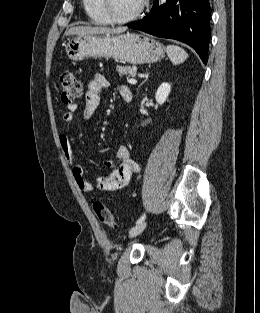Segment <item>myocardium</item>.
<instances>
[{
    "instance_id": "myocardium-1",
    "label": "myocardium",
    "mask_w": 260,
    "mask_h": 313,
    "mask_svg": "<svg viewBox=\"0 0 260 313\" xmlns=\"http://www.w3.org/2000/svg\"><path fill=\"white\" fill-rule=\"evenodd\" d=\"M146 4H147V0H142L140 3V6L133 13L125 17H119L115 15L113 11L112 0H100V8L103 14L105 15V17L108 19L110 23H115V24H124V23L134 21L141 15Z\"/></svg>"
}]
</instances>
